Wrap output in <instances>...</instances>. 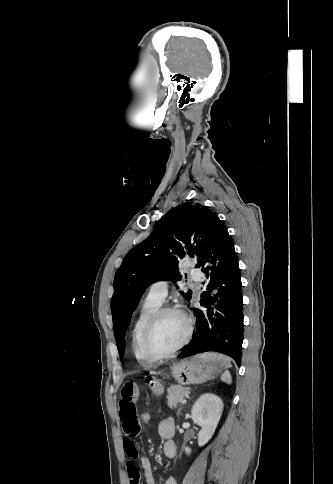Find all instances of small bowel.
Segmentation results:
<instances>
[{"mask_svg": "<svg viewBox=\"0 0 333 484\" xmlns=\"http://www.w3.org/2000/svg\"><path fill=\"white\" fill-rule=\"evenodd\" d=\"M140 396V390L136 383L127 382L120 392L118 414L122 422L124 437L123 447L130 461L127 462V475L129 484H140V472L134 460L140 459L147 484H154V475L150 461L141 456L137 451L134 438L141 432V423L137 414L136 403ZM175 424L173 419L162 420L158 425V433L165 440L163 446L164 455L173 458L176 455V444L173 441ZM164 484H177L174 478H168Z\"/></svg>", "mask_w": 333, "mask_h": 484, "instance_id": "c3829d8e", "label": "small bowel"}]
</instances>
